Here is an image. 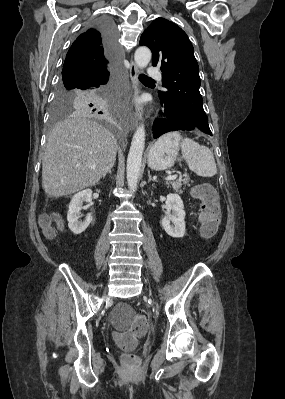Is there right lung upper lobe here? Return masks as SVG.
<instances>
[{
  "mask_svg": "<svg viewBox=\"0 0 285 399\" xmlns=\"http://www.w3.org/2000/svg\"><path fill=\"white\" fill-rule=\"evenodd\" d=\"M106 63L107 55L102 34L93 26L82 33L70 47L62 74L83 64L103 67Z\"/></svg>",
  "mask_w": 285,
  "mask_h": 399,
  "instance_id": "obj_1",
  "label": "right lung upper lobe"
}]
</instances>
